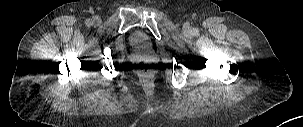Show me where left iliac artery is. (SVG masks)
I'll list each match as a JSON object with an SVG mask.
<instances>
[{
    "mask_svg": "<svg viewBox=\"0 0 303 127\" xmlns=\"http://www.w3.org/2000/svg\"><path fill=\"white\" fill-rule=\"evenodd\" d=\"M198 32H199L198 29H193V34H194V35H197Z\"/></svg>",
    "mask_w": 303,
    "mask_h": 127,
    "instance_id": "44dca946",
    "label": "left iliac artery"
}]
</instances>
